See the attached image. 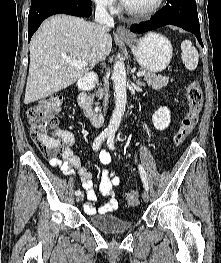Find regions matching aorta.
<instances>
[{
  "instance_id": "aorta-1",
  "label": "aorta",
  "mask_w": 221,
  "mask_h": 263,
  "mask_svg": "<svg viewBox=\"0 0 221 263\" xmlns=\"http://www.w3.org/2000/svg\"><path fill=\"white\" fill-rule=\"evenodd\" d=\"M112 80L114 83V97L115 109L112 113L107 133L114 135L120 126L123 114L126 108L127 93H126V68L125 64L121 61L116 62L112 72Z\"/></svg>"
}]
</instances>
